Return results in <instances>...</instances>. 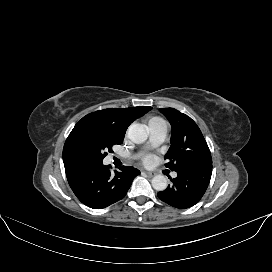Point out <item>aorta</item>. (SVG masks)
Masks as SVG:
<instances>
[{
  "instance_id": "aorta-1",
  "label": "aorta",
  "mask_w": 272,
  "mask_h": 272,
  "mask_svg": "<svg viewBox=\"0 0 272 272\" xmlns=\"http://www.w3.org/2000/svg\"><path fill=\"white\" fill-rule=\"evenodd\" d=\"M128 137L133 143L141 144L147 140L148 130L141 124H132L128 129ZM151 184L156 191H164L168 186L167 178L163 175L154 176Z\"/></svg>"
}]
</instances>
